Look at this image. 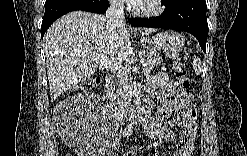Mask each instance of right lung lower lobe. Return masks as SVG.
I'll return each instance as SVG.
<instances>
[{
    "mask_svg": "<svg viewBox=\"0 0 247 156\" xmlns=\"http://www.w3.org/2000/svg\"><path fill=\"white\" fill-rule=\"evenodd\" d=\"M108 0H46L45 14L41 26V36L49 26L62 15L76 10L103 14L108 9Z\"/></svg>",
    "mask_w": 247,
    "mask_h": 156,
    "instance_id": "98d812e1",
    "label": "right lung lower lobe"
}]
</instances>
